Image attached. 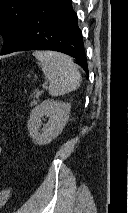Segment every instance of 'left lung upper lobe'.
Wrapping results in <instances>:
<instances>
[{
	"label": "left lung upper lobe",
	"mask_w": 128,
	"mask_h": 213,
	"mask_svg": "<svg viewBox=\"0 0 128 213\" xmlns=\"http://www.w3.org/2000/svg\"><path fill=\"white\" fill-rule=\"evenodd\" d=\"M38 0H0V33L6 50Z\"/></svg>",
	"instance_id": "left-lung-upper-lobe-1"
}]
</instances>
